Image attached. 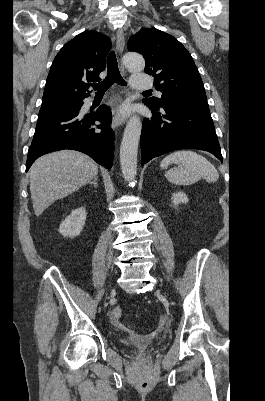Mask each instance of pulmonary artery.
<instances>
[{"instance_id": "e3ab8cb5", "label": "pulmonary artery", "mask_w": 265, "mask_h": 401, "mask_svg": "<svg viewBox=\"0 0 265 401\" xmlns=\"http://www.w3.org/2000/svg\"><path fill=\"white\" fill-rule=\"evenodd\" d=\"M131 87L133 90H151L154 84L150 81L149 75L135 74L132 77ZM159 95H161V92H159Z\"/></svg>"}]
</instances>
